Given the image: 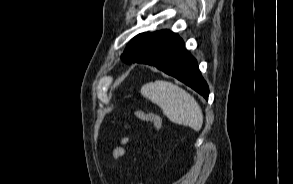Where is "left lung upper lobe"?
Instances as JSON below:
<instances>
[{"instance_id":"obj_1","label":"left lung upper lobe","mask_w":293,"mask_h":184,"mask_svg":"<svg viewBox=\"0 0 293 184\" xmlns=\"http://www.w3.org/2000/svg\"><path fill=\"white\" fill-rule=\"evenodd\" d=\"M161 31L153 32V33H141L134 37L129 44L126 46L121 59L130 64L132 62H141L143 60L148 59L149 53L147 51V42L155 35L159 34Z\"/></svg>"}]
</instances>
